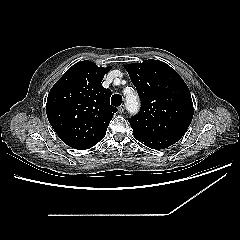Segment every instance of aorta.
Here are the masks:
<instances>
[{
    "label": "aorta",
    "mask_w": 240,
    "mask_h": 240,
    "mask_svg": "<svg viewBox=\"0 0 240 240\" xmlns=\"http://www.w3.org/2000/svg\"><path fill=\"white\" fill-rule=\"evenodd\" d=\"M126 105L128 110L131 113H135L138 109V98L135 95H127L126 97Z\"/></svg>",
    "instance_id": "762f6f07"
}]
</instances>
